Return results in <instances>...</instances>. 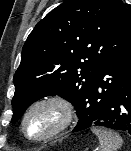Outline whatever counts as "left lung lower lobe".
<instances>
[{"instance_id":"left-lung-lower-lobe-1","label":"left lung lower lobe","mask_w":131,"mask_h":151,"mask_svg":"<svg viewBox=\"0 0 131 151\" xmlns=\"http://www.w3.org/2000/svg\"><path fill=\"white\" fill-rule=\"evenodd\" d=\"M83 107L73 132L103 126L131 134V45L102 66Z\"/></svg>"}]
</instances>
